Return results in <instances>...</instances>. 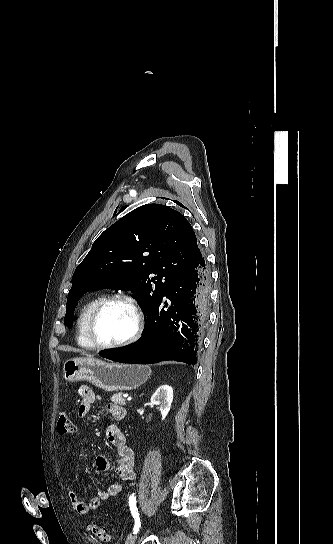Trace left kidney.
Listing matches in <instances>:
<instances>
[{
  "label": "left kidney",
  "instance_id": "left-kidney-1",
  "mask_svg": "<svg viewBox=\"0 0 333 544\" xmlns=\"http://www.w3.org/2000/svg\"><path fill=\"white\" fill-rule=\"evenodd\" d=\"M151 403L158 406L162 420L168 415L173 401V389L171 386L162 385L151 396Z\"/></svg>",
  "mask_w": 333,
  "mask_h": 544
}]
</instances>
